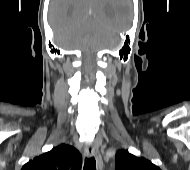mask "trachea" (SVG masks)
Returning <instances> with one entry per match:
<instances>
[{"mask_svg": "<svg viewBox=\"0 0 190 170\" xmlns=\"http://www.w3.org/2000/svg\"><path fill=\"white\" fill-rule=\"evenodd\" d=\"M83 170H96V161L94 157L85 159Z\"/></svg>", "mask_w": 190, "mask_h": 170, "instance_id": "obj_1", "label": "trachea"}]
</instances>
